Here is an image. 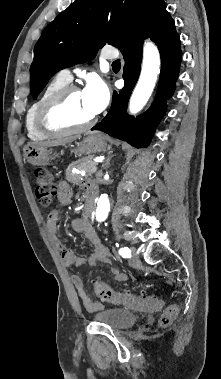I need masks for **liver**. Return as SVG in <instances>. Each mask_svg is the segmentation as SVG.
<instances>
[{
  "label": "liver",
  "instance_id": "6515ba94",
  "mask_svg": "<svg viewBox=\"0 0 221 379\" xmlns=\"http://www.w3.org/2000/svg\"><path fill=\"white\" fill-rule=\"evenodd\" d=\"M76 138H77L76 136H73V137L64 138L61 140H55V141H51V142L32 143V144L37 145V146H42V147L59 146V145H64V144L70 143V142L74 141Z\"/></svg>",
  "mask_w": 221,
  "mask_h": 379
}]
</instances>
